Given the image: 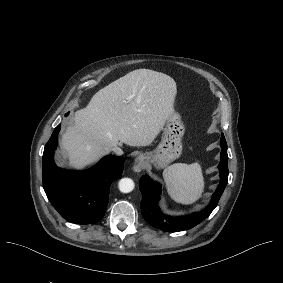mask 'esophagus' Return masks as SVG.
<instances>
[{
	"label": "esophagus",
	"instance_id": "1",
	"mask_svg": "<svg viewBox=\"0 0 283 283\" xmlns=\"http://www.w3.org/2000/svg\"><path fill=\"white\" fill-rule=\"evenodd\" d=\"M138 162L134 165V170L135 171H140L142 169L143 166V160H144V156L141 155L137 158Z\"/></svg>",
	"mask_w": 283,
	"mask_h": 283
}]
</instances>
